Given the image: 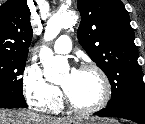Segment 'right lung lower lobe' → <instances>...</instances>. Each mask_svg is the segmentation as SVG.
I'll return each instance as SVG.
<instances>
[{"label":"right lung lower lobe","mask_w":145,"mask_h":124,"mask_svg":"<svg viewBox=\"0 0 145 124\" xmlns=\"http://www.w3.org/2000/svg\"><path fill=\"white\" fill-rule=\"evenodd\" d=\"M26 108L27 104L25 102L22 93L18 92H5L0 93V108Z\"/></svg>","instance_id":"right-lung-lower-lobe-1"}]
</instances>
